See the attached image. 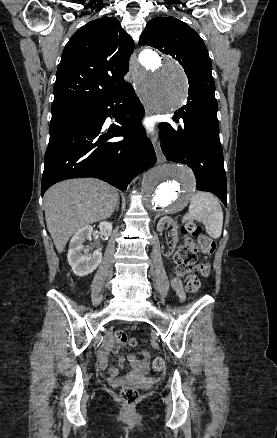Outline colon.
Wrapping results in <instances>:
<instances>
[{
  "mask_svg": "<svg viewBox=\"0 0 277 438\" xmlns=\"http://www.w3.org/2000/svg\"><path fill=\"white\" fill-rule=\"evenodd\" d=\"M181 233L184 236V243L177 249L174 259L177 264V271L184 277V285L187 292L196 294L201 289V281L198 274L208 275L209 264L198 263L197 253L210 255L215 249L212 239L202 234V227L193 221H184L181 226ZM115 338L119 344L135 345L134 339H128L123 330L115 331ZM164 361L157 357L153 360L152 369L155 373L163 371ZM116 397L125 402L127 409H136L141 397L140 389H117Z\"/></svg>",
  "mask_w": 277,
  "mask_h": 438,
  "instance_id": "obj_1",
  "label": "colon"
}]
</instances>
